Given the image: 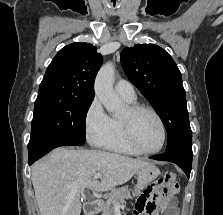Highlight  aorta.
<instances>
[{
	"label": "aorta",
	"instance_id": "762f6f07",
	"mask_svg": "<svg viewBox=\"0 0 223 215\" xmlns=\"http://www.w3.org/2000/svg\"><path fill=\"white\" fill-rule=\"evenodd\" d=\"M114 76V64H112V62L103 64L96 76L94 88L97 98H99L107 111H109V113H113V115H117L121 106H123V102L118 98V96H116V94H114Z\"/></svg>",
	"mask_w": 223,
	"mask_h": 215
}]
</instances>
